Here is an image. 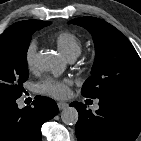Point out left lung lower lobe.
<instances>
[{
	"mask_svg": "<svg viewBox=\"0 0 141 141\" xmlns=\"http://www.w3.org/2000/svg\"><path fill=\"white\" fill-rule=\"evenodd\" d=\"M70 106L79 113L78 141H135L141 131V99L107 95L99 98L95 113L81 102Z\"/></svg>",
	"mask_w": 141,
	"mask_h": 141,
	"instance_id": "left-lung-lower-lobe-1",
	"label": "left lung lower lobe"
}]
</instances>
